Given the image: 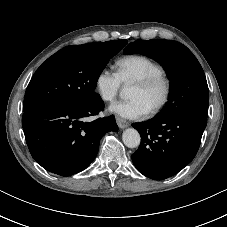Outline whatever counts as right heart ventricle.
Wrapping results in <instances>:
<instances>
[{"instance_id":"e07e8e85","label":"right heart ventricle","mask_w":227,"mask_h":227,"mask_svg":"<svg viewBox=\"0 0 227 227\" xmlns=\"http://www.w3.org/2000/svg\"><path fill=\"white\" fill-rule=\"evenodd\" d=\"M116 73L121 83H134L139 79L163 73L160 64L142 55H130L120 58L115 63Z\"/></svg>"}]
</instances>
